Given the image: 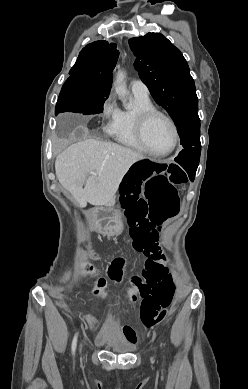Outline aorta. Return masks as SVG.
<instances>
[{"label": "aorta", "mask_w": 248, "mask_h": 389, "mask_svg": "<svg viewBox=\"0 0 248 389\" xmlns=\"http://www.w3.org/2000/svg\"><path fill=\"white\" fill-rule=\"evenodd\" d=\"M114 86H115V91H116L117 95L125 98L126 95L128 94V91H127V88L125 85V72H123V71L118 72L116 79H115V82H114Z\"/></svg>", "instance_id": "aorta-1"}]
</instances>
